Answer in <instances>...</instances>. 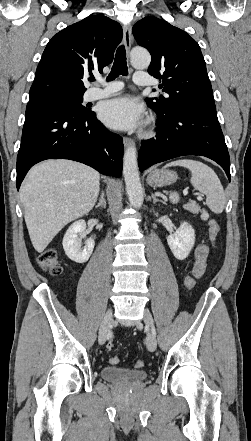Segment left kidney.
<instances>
[{
	"instance_id": "1",
	"label": "left kidney",
	"mask_w": 251,
	"mask_h": 441,
	"mask_svg": "<svg viewBox=\"0 0 251 441\" xmlns=\"http://www.w3.org/2000/svg\"><path fill=\"white\" fill-rule=\"evenodd\" d=\"M167 242L175 258L184 260L194 246L195 231L189 223L182 222L176 232L167 237Z\"/></svg>"
}]
</instances>
